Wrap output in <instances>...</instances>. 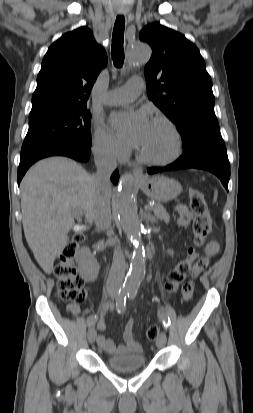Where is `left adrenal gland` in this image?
<instances>
[{
    "mask_svg": "<svg viewBox=\"0 0 253 413\" xmlns=\"http://www.w3.org/2000/svg\"><path fill=\"white\" fill-rule=\"evenodd\" d=\"M142 216L146 221L156 223V219L152 215H150V213H147L145 211Z\"/></svg>",
    "mask_w": 253,
    "mask_h": 413,
    "instance_id": "a2214340",
    "label": "left adrenal gland"
}]
</instances>
